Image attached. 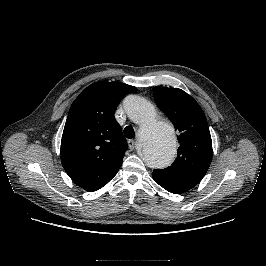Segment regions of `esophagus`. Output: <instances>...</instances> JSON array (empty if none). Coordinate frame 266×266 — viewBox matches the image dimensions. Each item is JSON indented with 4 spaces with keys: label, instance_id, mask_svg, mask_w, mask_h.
<instances>
[{
    "label": "esophagus",
    "instance_id": "esophagus-1",
    "mask_svg": "<svg viewBox=\"0 0 266 266\" xmlns=\"http://www.w3.org/2000/svg\"><path fill=\"white\" fill-rule=\"evenodd\" d=\"M128 146H129V148L131 149V150H133L134 149V147H135V141L134 140H128Z\"/></svg>",
    "mask_w": 266,
    "mask_h": 266
}]
</instances>
